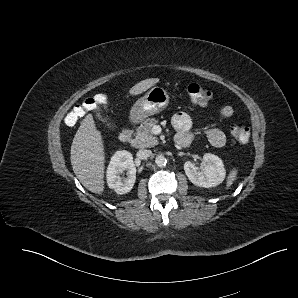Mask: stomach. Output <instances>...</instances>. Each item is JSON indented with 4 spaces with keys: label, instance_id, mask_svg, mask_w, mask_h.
Listing matches in <instances>:
<instances>
[{
    "label": "stomach",
    "instance_id": "0dacf381",
    "mask_svg": "<svg viewBox=\"0 0 298 298\" xmlns=\"http://www.w3.org/2000/svg\"><path fill=\"white\" fill-rule=\"evenodd\" d=\"M169 95L162 87H152L143 97L139 98L131 109V118L142 121L145 118L164 110L169 104Z\"/></svg>",
    "mask_w": 298,
    "mask_h": 298
}]
</instances>
